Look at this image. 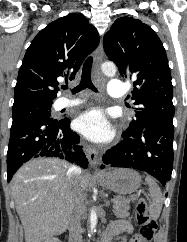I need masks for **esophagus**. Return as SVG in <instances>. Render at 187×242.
I'll list each match as a JSON object with an SVG mask.
<instances>
[{
    "label": "esophagus",
    "instance_id": "34e87169",
    "mask_svg": "<svg viewBox=\"0 0 187 242\" xmlns=\"http://www.w3.org/2000/svg\"><path fill=\"white\" fill-rule=\"evenodd\" d=\"M103 54H104V50H103V43L101 40L95 52V57H94L95 67L98 68L100 66L103 60ZM84 149L91 168L95 171H99V156H98L97 149L88 143L84 144Z\"/></svg>",
    "mask_w": 187,
    "mask_h": 242
}]
</instances>
